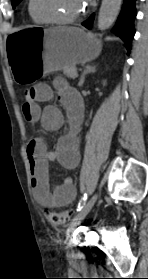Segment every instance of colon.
Here are the masks:
<instances>
[{
  "mask_svg": "<svg viewBox=\"0 0 148 279\" xmlns=\"http://www.w3.org/2000/svg\"><path fill=\"white\" fill-rule=\"evenodd\" d=\"M25 103H31L34 100V89L33 87L27 88L24 92ZM45 217L47 220L55 225H61L66 223L70 217V211H58L53 209L45 210Z\"/></svg>",
  "mask_w": 148,
  "mask_h": 279,
  "instance_id": "1",
  "label": "colon"
}]
</instances>
